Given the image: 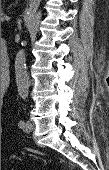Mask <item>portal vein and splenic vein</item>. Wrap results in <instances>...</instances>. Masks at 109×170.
<instances>
[{
  "label": "portal vein and splenic vein",
  "instance_id": "1",
  "mask_svg": "<svg viewBox=\"0 0 109 170\" xmlns=\"http://www.w3.org/2000/svg\"><path fill=\"white\" fill-rule=\"evenodd\" d=\"M10 17H8L7 15L3 16L1 21H9Z\"/></svg>",
  "mask_w": 109,
  "mask_h": 170
}]
</instances>
